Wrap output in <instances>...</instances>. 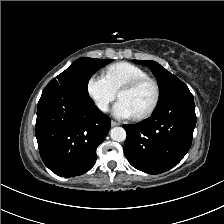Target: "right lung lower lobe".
I'll list each match as a JSON object with an SVG mask.
<instances>
[{"mask_svg": "<svg viewBox=\"0 0 224 224\" xmlns=\"http://www.w3.org/2000/svg\"><path fill=\"white\" fill-rule=\"evenodd\" d=\"M109 129V117L90 97L65 88L43 90L35 134L41 158L53 173L72 177L90 170Z\"/></svg>", "mask_w": 224, "mask_h": 224, "instance_id": "98d812e1", "label": "right lung lower lobe"}]
</instances>
